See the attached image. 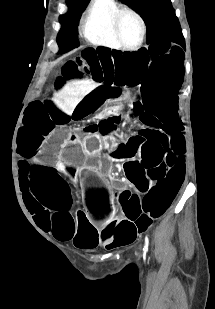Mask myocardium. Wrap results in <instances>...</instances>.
Returning <instances> with one entry per match:
<instances>
[{"label":"myocardium","instance_id":"1","mask_svg":"<svg viewBox=\"0 0 215 309\" xmlns=\"http://www.w3.org/2000/svg\"><path fill=\"white\" fill-rule=\"evenodd\" d=\"M110 12H113V16L115 18V21L113 23V30L115 31V36L117 38V43L115 44L118 48H140L142 46V43L144 42L145 39V34H146V28L144 25V22L142 20V18L140 17V15L138 13H136L135 11L128 9V8H121V9H115L112 10ZM122 15H128L130 17H132L138 26V40L136 43H134L133 45L130 46H125V42H122V38L120 35L119 30L122 28V25L120 24V20H122Z\"/></svg>","mask_w":215,"mask_h":309}]
</instances>
